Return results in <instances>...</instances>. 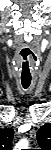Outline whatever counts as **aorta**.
I'll return each instance as SVG.
<instances>
[{"label":"aorta","mask_w":51,"mask_h":150,"mask_svg":"<svg viewBox=\"0 0 51 150\" xmlns=\"http://www.w3.org/2000/svg\"><path fill=\"white\" fill-rule=\"evenodd\" d=\"M29 141L26 138L21 139L14 147L15 150L27 149Z\"/></svg>","instance_id":"1"}]
</instances>
